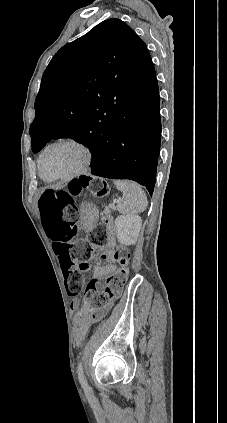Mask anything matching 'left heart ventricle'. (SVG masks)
Here are the masks:
<instances>
[{"label": "left heart ventricle", "mask_w": 227, "mask_h": 423, "mask_svg": "<svg viewBox=\"0 0 227 423\" xmlns=\"http://www.w3.org/2000/svg\"><path fill=\"white\" fill-rule=\"evenodd\" d=\"M84 161L82 150L70 144H61L49 149L43 156L44 171L49 176L73 172Z\"/></svg>", "instance_id": "1"}]
</instances>
